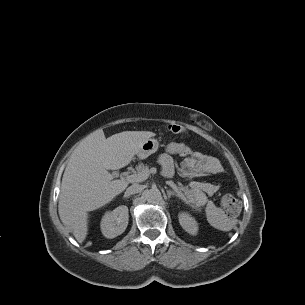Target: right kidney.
Instances as JSON below:
<instances>
[{
    "label": "right kidney",
    "instance_id": "right-kidney-1",
    "mask_svg": "<svg viewBox=\"0 0 305 305\" xmlns=\"http://www.w3.org/2000/svg\"><path fill=\"white\" fill-rule=\"evenodd\" d=\"M129 220L128 207L119 206L113 211L106 212L101 220V232L109 239L122 234L127 228Z\"/></svg>",
    "mask_w": 305,
    "mask_h": 305
}]
</instances>
